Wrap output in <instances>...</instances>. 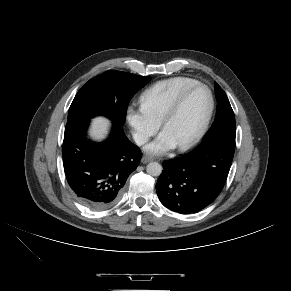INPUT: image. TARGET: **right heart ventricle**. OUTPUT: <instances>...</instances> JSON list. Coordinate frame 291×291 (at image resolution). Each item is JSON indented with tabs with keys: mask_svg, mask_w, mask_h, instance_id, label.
Here are the masks:
<instances>
[{
	"mask_svg": "<svg viewBox=\"0 0 291 291\" xmlns=\"http://www.w3.org/2000/svg\"><path fill=\"white\" fill-rule=\"evenodd\" d=\"M197 80L177 76L158 81L148 87L140 96L141 106L159 123L177 96Z\"/></svg>",
	"mask_w": 291,
	"mask_h": 291,
	"instance_id": "e07e8e85",
	"label": "right heart ventricle"
}]
</instances>
